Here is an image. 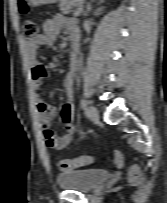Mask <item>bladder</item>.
I'll use <instances>...</instances> for the list:
<instances>
[{"mask_svg":"<svg viewBox=\"0 0 167 203\" xmlns=\"http://www.w3.org/2000/svg\"><path fill=\"white\" fill-rule=\"evenodd\" d=\"M110 177L111 173L102 169L67 170L57 175V183L66 190L87 192Z\"/></svg>","mask_w":167,"mask_h":203,"instance_id":"1","label":"bladder"}]
</instances>
